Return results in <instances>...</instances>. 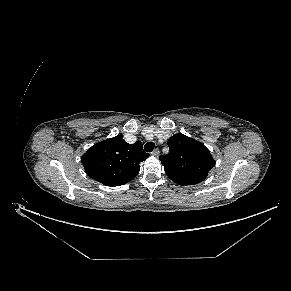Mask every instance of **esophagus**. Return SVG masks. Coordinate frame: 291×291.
<instances>
[{
    "mask_svg": "<svg viewBox=\"0 0 291 291\" xmlns=\"http://www.w3.org/2000/svg\"><path fill=\"white\" fill-rule=\"evenodd\" d=\"M152 155L155 156V157H158L160 155V151L159 149H155L153 152H152Z\"/></svg>",
    "mask_w": 291,
    "mask_h": 291,
    "instance_id": "34e87169",
    "label": "esophagus"
}]
</instances>
